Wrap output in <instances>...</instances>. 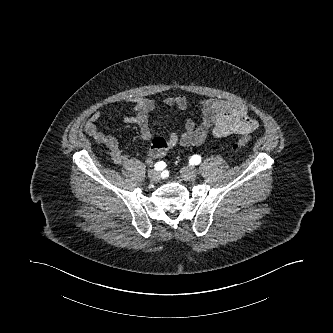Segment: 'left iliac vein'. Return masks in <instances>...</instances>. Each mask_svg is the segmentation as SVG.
Wrapping results in <instances>:
<instances>
[{"label":"left iliac vein","mask_w":333,"mask_h":333,"mask_svg":"<svg viewBox=\"0 0 333 333\" xmlns=\"http://www.w3.org/2000/svg\"><path fill=\"white\" fill-rule=\"evenodd\" d=\"M180 173L182 178L187 181H193L197 178V170L194 167H183Z\"/></svg>","instance_id":"1"}]
</instances>
